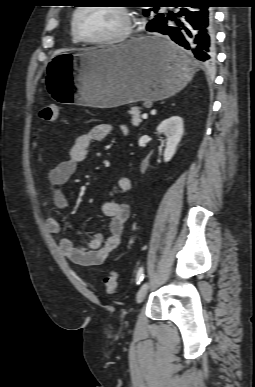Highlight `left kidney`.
I'll return each instance as SVG.
<instances>
[{
  "label": "left kidney",
  "instance_id": "obj_1",
  "mask_svg": "<svg viewBox=\"0 0 255 387\" xmlns=\"http://www.w3.org/2000/svg\"><path fill=\"white\" fill-rule=\"evenodd\" d=\"M160 135L166 137V148L164 151V161L169 162L176 152L178 143L183 135V119L179 116H172L165 119L157 127Z\"/></svg>",
  "mask_w": 255,
  "mask_h": 387
}]
</instances>
